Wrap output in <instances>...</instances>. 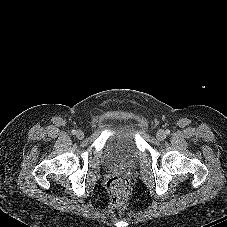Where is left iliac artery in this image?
Wrapping results in <instances>:
<instances>
[{
    "mask_svg": "<svg viewBox=\"0 0 227 227\" xmlns=\"http://www.w3.org/2000/svg\"><path fill=\"white\" fill-rule=\"evenodd\" d=\"M166 134L169 135L170 134V131L169 130H166Z\"/></svg>",
    "mask_w": 227,
    "mask_h": 227,
    "instance_id": "44dca946",
    "label": "left iliac artery"
}]
</instances>
